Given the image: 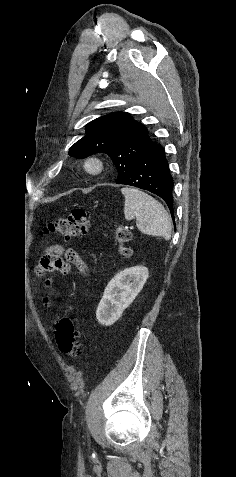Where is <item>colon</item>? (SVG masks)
Masks as SVG:
<instances>
[{"label": "colon", "mask_w": 236, "mask_h": 477, "mask_svg": "<svg viewBox=\"0 0 236 477\" xmlns=\"http://www.w3.org/2000/svg\"><path fill=\"white\" fill-rule=\"evenodd\" d=\"M91 227V217L87 211L81 208L74 209L65 216L52 220L45 228V234H54L64 238L81 237L87 234ZM118 251L122 256L131 254L127 243L131 239L128 229L119 227L115 232ZM55 339L58 349L66 356L76 357L80 354L79 332L74 320L70 317H62L56 324Z\"/></svg>", "instance_id": "colon-1"}]
</instances>
